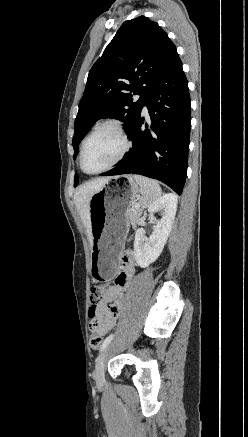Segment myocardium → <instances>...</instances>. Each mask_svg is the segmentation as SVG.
<instances>
[{
	"mask_svg": "<svg viewBox=\"0 0 248 437\" xmlns=\"http://www.w3.org/2000/svg\"><path fill=\"white\" fill-rule=\"evenodd\" d=\"M112 129L114 130L121 138L122 142H123V148L120 151V153L118 154V156L106 167H104L101 170L95 171V172H89L84 165V153H85V148H86V144L89 141V139L95 135L97 132L101 131L102 129ZM132 146V143L129 139V136L125 130V128L123 127V125L115 120H107L104 122L99 123L98 125H96L94 127V129L84 138L82 144H81V149H80V167L82 169L83 172H85L86 174H90V175H94V174H100L103 172H106L108 170H110L111 168H113L115 165H117L126 155L127 153L130 151Z\"/></svg>",
	"mask_w": 248,
	"mask_h": 437,
	"instance_id": "f54148a6",
	"label": "myocardium"
}]
</instances>
